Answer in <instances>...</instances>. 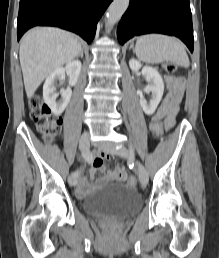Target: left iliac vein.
Instances as JSON below:
<instances>
[{
  "label": "left iliac vein",
  "mask_w": 219,
  "mask_h": 258,
  "mask_svg": "<svg viewBox=\"0 0 219 258\" xmlns=\"http://www.w3.org/2000/svg\"><path fill=\"white\" fill-rule=\"evenodd\" d=\"M106 151H108L111 154H115V155H119L122 157H133L131 152L124 146H120L118 148L115 147H109L106 149ZM136 166H137V173H138V178L139 181L142 185H146L148 182V174L147 171L145 169V167L143 166V164L138 161L135 160Z\"/></svg>",
  "instance_id": "obj_1"
}]
</instances>
